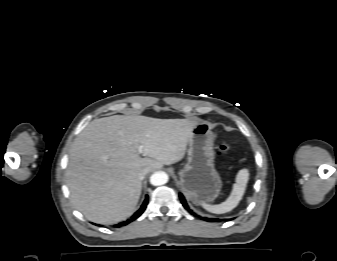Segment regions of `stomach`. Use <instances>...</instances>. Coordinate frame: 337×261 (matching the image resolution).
I'll use <instances>...</instances> for the list:
<instances>
[{"label":"stomach","instance_id":"1","mask_svg":"<svg viewBox=\"0 0 337 261\" xmlns=\"http://www.w3.org/2000/svg\"><path fill=\"white\" fill-rule=\"evenodd\" d=\"M187 163L179 171L180 189L196 205L213 202L219 195L222 181L215 169L214 135L207 122H199L188 142Z\"/></svg>","mask_w":337,"mask_h":261}]
</instances>
